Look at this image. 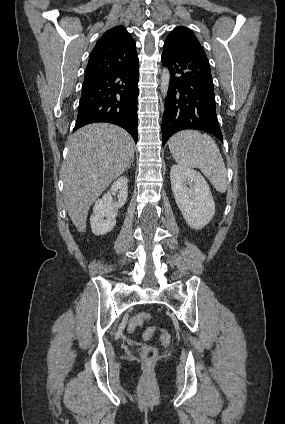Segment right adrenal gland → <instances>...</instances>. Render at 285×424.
<instances>
[{
    "mask_svg": "<svg viewBox=\"0 0 285 424\" xmlns=\"http://www.w3.org/2000/svg\"><path fill=\"white\" fill-rule=\"evenodd\" d=\"M133 162H134V159L132 158L131 163H130V165L128 166L127 169H129L131 165L134 166V163Z\"/></svg>",
    "mask_w": 285,
    "mask_h": 424,
    "instance_id": "obj_1",
    "label": "right adrenal gland"
}]
</instances>
